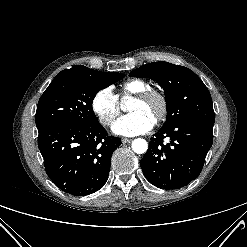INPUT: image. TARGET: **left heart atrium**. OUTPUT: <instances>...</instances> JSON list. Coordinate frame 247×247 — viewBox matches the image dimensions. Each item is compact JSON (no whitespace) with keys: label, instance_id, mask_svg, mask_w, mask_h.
Returning a JSON list of instances; mask_svg holds the SVG:
<instances>
[{"label":"left heart atrium","instance_id":"left-heart-atrium-1","mask_svg":"<svg viewBox=\"0 0 247 247\" xmlns=\"http://www.w3.org/2000/svg\"><path fill=\"white\" fill-rule=\"evenodd\" d=\"M154 124L153 117L136 111L117 119L112 125V131L118 135L136 136L150 131Z\"/></svg>","mask_w":247,"mask_h":247}]
</instances>
